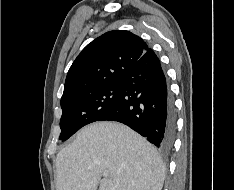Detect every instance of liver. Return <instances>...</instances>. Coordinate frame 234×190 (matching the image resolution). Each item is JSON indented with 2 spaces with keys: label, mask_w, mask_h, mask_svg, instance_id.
<instances>
[{
  "label": "liver",
  "mask_w": 234,
  "mask_h": 190,
  "mask_svg": "<svg viewBox=\"0 0 234 190\" xmlns=\"http://www.w3.org/2000/svg\"><path fill=\"white\" fill-rule=\"evenodd\" d=\"M109 175L101 181L104 171ZM165 167L155 148L129 127L96 122L56 158V190H162Z\"/></svg>",
  "instance_id": "1"
}]
</instances>
